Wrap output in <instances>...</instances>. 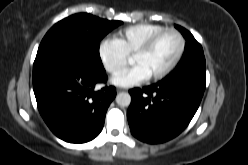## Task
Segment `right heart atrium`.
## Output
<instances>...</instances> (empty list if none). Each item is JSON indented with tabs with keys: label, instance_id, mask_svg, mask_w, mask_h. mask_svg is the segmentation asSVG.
Returning <instances> with one entry per match:
<instances>
[{
	"label": "right heart atrium",
	"instance_id": "d8ad5b80",
	"mask_svg": "<svg viewBox=\"0 0 248 165\" xmlns=\"http://www.w3.org/2000/svg\"><path fill=\"white\" fill-rule=\"evenodd\" d=\"M98 55L103 67L110 74L118 73L128 60V55L114 38H106L100 42Z\"/></svg>",
	"mask_w": 248,
	"mask_h": 165
}]
</instances>
